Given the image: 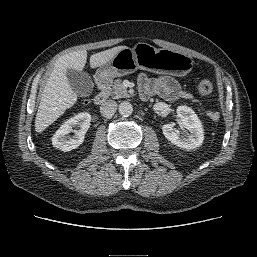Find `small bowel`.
Masks as SVG:
<instances>
[{
	"label": "small bowel",
	"instance_id": "c3829d8e",
	"mask_svg": "<svg viewBox=\"0 0 257 257\" xmlns=\"http://www.w3.org/2000/svg\"><path fill=\"white\" fill-rule=\"evenodd\" d=\"M138 82L144 99L153 95H159L168 101L192 97L189 92L182 89L176 79L170 76L151 77L143 73L139 76Z\"/></svg>",
	"mask_w": 257,
	"mask_h": 257
}]
</instances>
